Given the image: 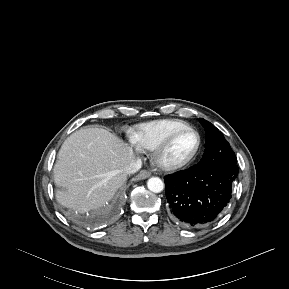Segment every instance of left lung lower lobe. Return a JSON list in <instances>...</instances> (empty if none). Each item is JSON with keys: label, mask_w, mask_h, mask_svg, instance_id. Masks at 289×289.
I'll list each match as a JSON object with an SVG mask.
<instances>
[{"label": "left lung lower lobe", "mask_w": 289, "mask_h": 289, "mask_svg": "<svg viewBox=\"0 0 289 289\" xmlns=\"http://www.w3.org/2000/svg\"><path fill=\"white\" fill-rule=\"evenodd\" d=\"M236 164H198L164 177L173 219L193 227L217 220L226 210L238 175Z\"/></svg>", "instance_id": "0a47b994"}]
</instances>
